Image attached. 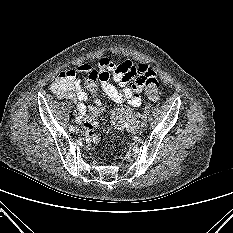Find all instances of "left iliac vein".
Masks as SVG:
<instances>
[{
	"instance_id": "left-iliac-vein-1",
	"label": "left iliac vein",
	"mask_w": 233,
	"mask_h": 233,
	"mask_svg": "<svg viewBox=\"0 0 233 233\" xmlns=\"http://www.w3.org/2000/svg\"><path fill=\"white\" fill-rule=\"evenodd\" d=\"M146 126H147V123H146L145 120H143V121L139 124L138 128H139L140 131H142V130H144V129L146 128Z\"/></svg>"
}]
</instances>
